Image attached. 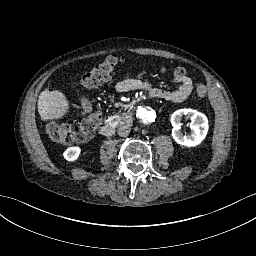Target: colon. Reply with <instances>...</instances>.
<instances>
[{"label": "colon", "instance_id": "colon-1", "mask_svg": "<svg viewBox=\"0 0 256 256\" xmlns=\"http://www.w3.org/2000/svg\"><path fill=\"white\" fill-rule=\"evenodd\" d=\"M119 64V58L107 57L104 61L95 64L92 69L83 77V86L88 89L96 88L110 80ZM176 79H181L186 75L184 68L178 67L172 71ZM197 98L203 99L207 95L206 86L202 82H197L194 87ZM83 118L65 125L58 122H48L45 124L46 134L54 141L60 143H74L86 140L98 127L100 118L92 109L81 108Z\"/></svg>", "mask_w": 256, "mask_h": 256}]
</instances>
